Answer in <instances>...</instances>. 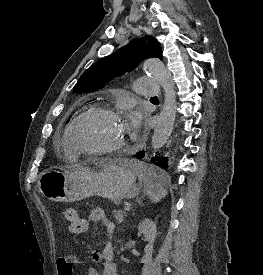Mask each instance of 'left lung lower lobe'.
<instances>
[{"instance_id": "left-lung-lower-lobe-1", "label": "left lung lower lobe", "mask_w": 263, "mask_h": 275, "mask_svg": "<svg viewBox=\"0 0 263 275\" xmlns=\"http://www.w3.org/2000/svg\"><path fill=\"white\" fill-rule=\"evenodd\" d=\"M147 155V152L146 151H139L138 153H136L134 155V157L138 158V159H142L144 157H146ZM152 161L155 165L163 168V169H166L168 168V160H167V157H162L160 155H156L155 157H152ZM153 175H155L154 172H151Z\"/></svg>"}]
</instances>
